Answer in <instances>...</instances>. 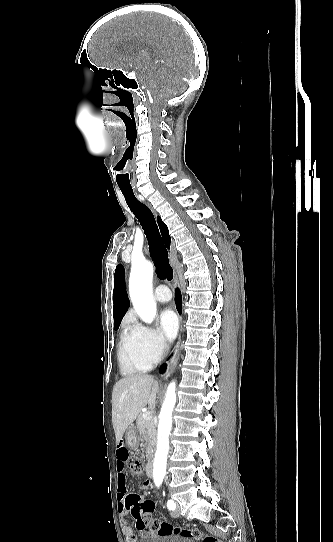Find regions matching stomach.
<instances>
[{"label": "stomach", "mask_w": 333, "mask_h": 542, "mask_svg": "<svg viewBox=\"0 0 333 542\" xmlns=\"http://www.w3.org/2000/svg\"><path fill=\"white\" fill-rule=\"evenodd\" d=\"M125 440L129 448H136V446H138L139 436L135 426H129V428H127Z\"/></svg>", "instance_id": "obj_1"}]
</instances>
